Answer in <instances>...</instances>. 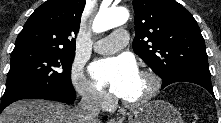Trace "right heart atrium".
Listing matches in <instances>:
<instances>
[{"mask_svg": "<svg viewBox=\"0 0 221 123\" xmlns=\"http://www.w3.org/2000/svg\"><path fill=\"white\" fill-rule=\"evenodd\" d=\"M71 80L74 89L84 102L101 108L110 107L112 103L111 97L106 92L99 89L93 82L87 79L81 66H73Z\"/></svg>", "mask_w": 221, "mask_h": 123, "instance_id": "obj_1", "label": "right heart atrium"}]
</instances>
